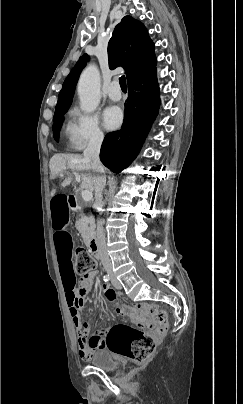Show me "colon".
Listing matches in <instances>:
<instances>
[{"instance_id": "colon-1", "label": "colon", "mask_w": 243, "mask_h": 404, "mask_svg": "<svg viewBox=\"0 0 243 404\" xmlns=\"http://www.w3.org/2000/svg\"><path fill=\"white\" fill-rule=\"evenodd\" d=\"M76 261L77 272L84 276L96 267V260L82 247L76 249ZM137 305L143 307L141 303ZM148 311L155 315L157 328L151 332H145L124 323L116 324L109 330L105 346L111 352L134 361L147 360L154 353L158 337L167 325V316L164 311L155 306H149Z\"/></svg>"}]
</instances>
